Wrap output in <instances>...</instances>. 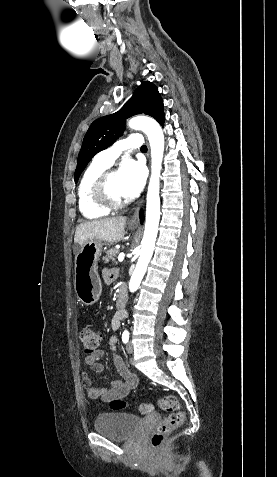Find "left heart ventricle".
Returning a JSON list of instances; mask_svg holds the SVG:
<instances>
[{"instance_id": "obj_1", "label": "left heart ventricle", "mask_w": 277, "mask_h": 477, "mask_svg": "<svg viewBox=\"0 0 277 477\" xmlns=\"http://www.w3.org/2000/svg\"><path fill=\"white\" fill-rule=\"evenodd\" d=\"M108 190L111 196L115 199H123V195L120 189V181L117 172H114L110 175L108 181Z\"/></svg>"}]
</instances>
